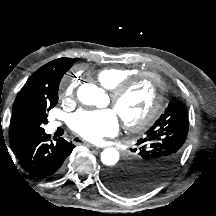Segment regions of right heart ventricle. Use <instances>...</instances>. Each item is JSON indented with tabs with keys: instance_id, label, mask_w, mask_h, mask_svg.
<instances>
[{
	"instance_id": "right-heart-ventricle-1",
	"label": "right heart ventricle",
	"mask_w": 216,
	"mask_h": 216,
	"mask_svg": "<svg viewBox=\"0 0 216 216\" xmlns=\"http://www.w3.org/2000/svg\"><path fill=\"white\" fill-rule=\"evenodd\" d=\"M137 69L125 66L106 67L98 71L97 81L107 90H112L125 79L137 74Z\"/></svg>"
}]
</instances>
